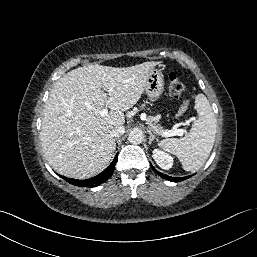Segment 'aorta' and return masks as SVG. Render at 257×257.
<instances>
[{"mask_svg": "<svg viewBox=\"0 0 257 257\" xmlns=\"http://www.w3.org/2000/svg\"><path fill=\"white\" fill-rule=\"evenodd\" d=\"M128 140L133 144H140L143 141V133L140 129H133L129 135Z\"/></svg>", "mask_w": 257, "mask_h": 257, "instance_id": "762f6f07", "label": "aorta"}]
</instances>
